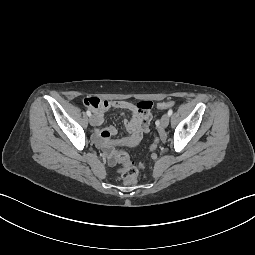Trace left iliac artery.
Returning a JSON list of instances; mask_svg holds the SVG:
<instances>
[{
	"label": "left iliac artery",
	"instance_id": "obj_1",
	"mask_svg": "<svg viewBox=\"0 0 255 255\" xmlns=\"http://www.w3.org/2000/svg\"><path fill=\"white\" fill-rule=\"evenodd\" d=\"M172 113H173V110H172V109H169V111H168L169 117L172 115Z\"/></svg>",
	"mask_w": 255,
	"mask_h": 255
}]
</instances>
